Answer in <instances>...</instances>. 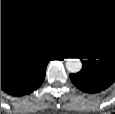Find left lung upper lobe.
Wrapping results in <instances>:
<instances>
[{
    "mask_svg": "<svg viewBox=\"0 0 115 114\" xmlns=\"http://www.w3.org/2000/svg\"><path fill=\"white\" fill-rule=\"evenodd\" d=\"M84 56L83 67H93L115 75V30L103 34L93 48L84 52Z\"/></svg>",
    "mask_w": 115,
    "mask_h": 114,
    "instance_id": "obj_1",
    "label": "left lung upper lobe"
}]
</instances>
